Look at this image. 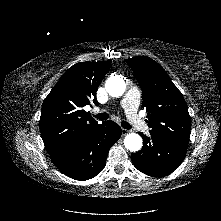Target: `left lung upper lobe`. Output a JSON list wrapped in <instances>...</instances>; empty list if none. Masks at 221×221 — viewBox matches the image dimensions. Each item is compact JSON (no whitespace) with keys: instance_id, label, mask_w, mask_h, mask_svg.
Instances as JSON below:
<instances>
[{"instance_id":"1","label":"left lung upper lobe","mask_w":221,"mask_h":221,"mask_svg":"<svg viewBox=\"0 0 221 221\" xmlns=\"http://www.w3.org/2000/svg\"><path fill=\"white\" fill-rule=\"evenodd\" d=\"M125 61L142 89L150 133L188 144L191 129L188 108L166 71L146 56Z\"/></svg>"}]
</instances>
